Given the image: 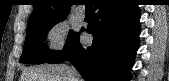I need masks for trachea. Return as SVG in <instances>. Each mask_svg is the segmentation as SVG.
Instances as JSON below:
<instances>
[{"label": "trachea", "instance_id": "3493384b", "mask_svg": "<svg viewBox=\"0 0 169 81\" xmlns=\"http://www.w3.org/2000/svg\"><path fill=\"white\" fill-rule=\"evenodd\" d=\"M85 8H86V10H91L92 9V3L91 2H86Z\"/></svg>", "mask_w": 169, "mask_h": 81}]
</instances>
